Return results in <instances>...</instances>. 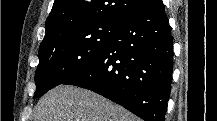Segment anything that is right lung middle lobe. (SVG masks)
<instances>
[{
  "instance_id": "obj_1",
  "label": "right lung middle lobe",
  "mask_w": 217,
  "mask_h": 121,
  "mask_svg": "<svg viewBox=\"0 0 217 121\" xmlns=\"http://www.w3.org/2000/svg\"><path fill=\"white\" fill-rule=\"evenodd\" d=\"M120 25L114 21L81 25L41 46L34 97L42 96L96 60Z\"/></svg>"
}]
</instances>
